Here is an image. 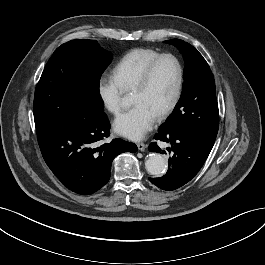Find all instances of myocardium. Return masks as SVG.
Listing matches in <instances>:
<instances>
[{"label": "myocardium", "mask_w": 265, "mask_h": 265, "mask_svg": "<svg viewBox=\"0 0 265 265\" xmlns=\"http://www.w3.org/2000/svg\"><path fill=\"white\" fill-rule=\"evenodd\" d=\"M165 59H171L175 62L178 70V80L172 100L167 105V107L157 115L158 119H164L167 116H169L175 110L181 99L183 86H184V68L179 58L170 53L160 54L144 68V70L142 71L140 77L138 78L137 82L135 83L132 89V92L144 90L150 82L155 67L158 65L159 62Z\"/></svg>", "instance_id": "obj_1"}]
</instances>
